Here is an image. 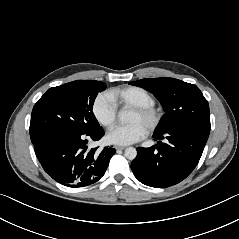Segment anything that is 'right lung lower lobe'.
I'll return each mask as SVG.
<instances>
[{"mask_svg":"<svg viewBox=\"0 0 239 239\" xmlns=\"http://www.w3.org/2000/svg\"><path fill=\"white\" fill-rule=\"evenodd\" d=\"M104 130L99 127L86 133L70 130L42 135L34 145L43 169L57 182L68 187H84L97 182L105 173L114 148L87 150L88 140H99Z\"/></svg>","mask_w":239,"mask_h":239,"instance_id":"98d812e1","label":"right lung lower lobe"}]
</instances>
